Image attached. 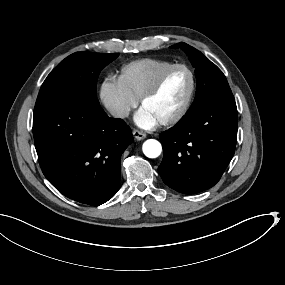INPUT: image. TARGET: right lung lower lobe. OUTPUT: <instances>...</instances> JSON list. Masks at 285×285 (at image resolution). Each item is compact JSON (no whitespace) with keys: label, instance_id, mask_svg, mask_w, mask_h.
Returning a JSON list of instances; mask_svg holds the SVG:
<instances>
[{"label":"right lung lower lobe","instance_id":"1","mask_svg":"<svg viewBox=\"0 0 285 285\" xmlns=\"http://www.w3.org/2000/svg\"><path fill=\"white\" fill-rule=\"evenodd\" d=\"M40 167L64 196L99 206L120 186V159L133 140L122 119L76 100L53 103L33 114Z\"/></svg>","mask_w":285,"mask_h":285}]
</instances>
